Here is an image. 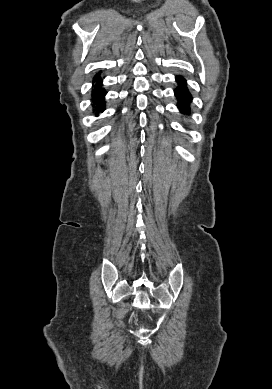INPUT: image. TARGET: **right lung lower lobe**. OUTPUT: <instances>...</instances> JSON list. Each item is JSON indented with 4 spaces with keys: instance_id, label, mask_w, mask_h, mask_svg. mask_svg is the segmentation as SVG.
<instances>
[{
    "instance_id": "1",
    "label": "right lung lower lobe",
    "mask_w": 272,
    "mask_h": 389,
    "mask_svg": "<svg viewBox=\"0 0 272 389\" xmlns=\"http://www.w3.org/2000/svg\"><path fill=\"white\" fill-rule=\"evenodd\" d=\"M93 81L96 82L92 91L93 104L96 105V111L103 112L105 109L104 96L106 95V91L101 87L102 78L100 77V72L95 75ZM96 115H98V112L96 113Z\"/></svg>"
}]
</instances>
